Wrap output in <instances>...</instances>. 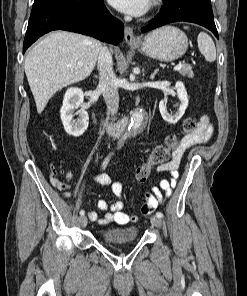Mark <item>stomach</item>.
<instances>
[{
  "label": "stomach",
  "mask_w": 247,
  "mask_h": 296,
  "mask_svg": "<svg viewBox=\"0 0 247 296\" xmlns=\"http://www.w3.org/2000/svg\"><path fill=\"white\" fill-rule=\"evenodd\" d=\"M133 47L154 59L173 61L186 53L188 38L178 28L165 26L147 34Z\"/></svg>",
  "instance_id": "obj_1"
}]
</instances>
